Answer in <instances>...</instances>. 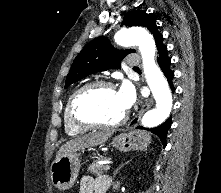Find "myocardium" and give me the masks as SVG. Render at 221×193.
<instances>
[{"instance_id":"obj_1","label":"myocardium","mask_w":221,"mask_h":193,"mask_svg":"<svg viewBox=\"0 0 221 193\" xmlns=\"http://www.w3.org/2000/svg\"><path fill=\"white\" fill-rule=\"evenodd\" d=\"M96 88H108V89H114L115 90V85L106 80H95L88 82L84 85H82L79 89H77L74 94L72 95L70 102H69V113L72 121L84 128H117L121 125H123L127 118H128V113L125 112V114L118 119L117 121L114 122H103L100 120H94V119H84L81 118L78 114V104L82 97H84L87 93L90 91L96 89Z\"/></svg>"}]
</instances>
